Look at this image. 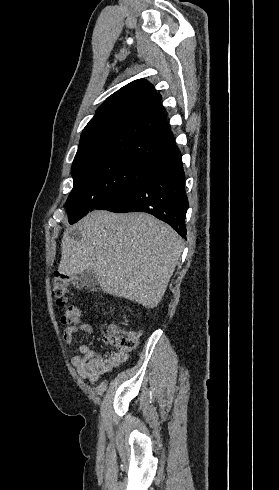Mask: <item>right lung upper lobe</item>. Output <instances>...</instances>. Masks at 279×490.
I'll return each instance as SVG.
<instances>
[{
  "mask_svg": "<svg viewBox=\"0 0 279 490\" xmlns=\"http://www.w3.org/2000/svg\"><path fill=\"white\" fill-rule=\"evenodd\" d=\"M161 99L144 79L111 95L84 128L72 169L106 159L156 163L177 149Z\"/></svg>",
  "mask_w": 279,
  "mask_h": 490,
  "instance_id": "obj_1",
  "label": "right lung upper lobe"
}]
</instances>
